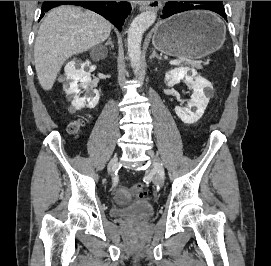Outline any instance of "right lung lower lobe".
I'll return each mask as SVG.
<instances>
[{
  "label": "right lung lower lobe",
  "instance_id": "1",
  "mask_svg": "<svg viewBox=\"0 0 271 266\" xmlns=\"http://www.w3.org/2000/svg\"><path fill=\"white\" fill-rule=\"evenodd\" d=\"M65 4L88 8L109 20L118 30H121L125 18L131 11L130 4L121 1H44L40 19L51 8Z\"/></svg>",
  "mask_w": 271,
  "mask_h": 266
}]
</instances>
